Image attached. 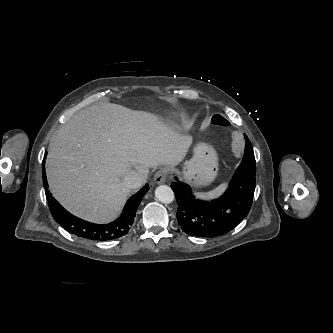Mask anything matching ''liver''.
<instances>
[{
  "mask_svg": "<svg viewBox=\"0 0 333 333\" xmlns=\"http://www.w3.org/2000/svg\"><path fill=\"white\" fill-rule=\"evenodd\" d=\"M192 137L158 117L106 103L78 112L52 138L46 160L49 188L72 214L95 223L114 219L130 189L124 176L176 166Z\"/></svg>",
  "mask_w": 333,
  "mask_h": 333,
  "instance_id": "6515ba94",
  "label": "liver"
}]
</instances>
